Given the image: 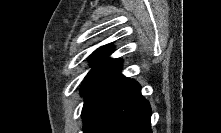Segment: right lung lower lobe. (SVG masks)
<instances>
[{
  "label": "right lung lower lobe",
  "mask_w": 221,
  "mask_h": 133,
  "mask_svg": "<svg viewBox=\"0 0 221 133\" xmlns=\"http://www.w3.org/2000/svg\"><path fill=\"white\" fill-rule=\"evenodd\" d=\"M117 66L99 76L85 98L84 133H151V109L140 85Z\"/></svg>",
  "instance_id": "obj_1"
}]
</instances>
